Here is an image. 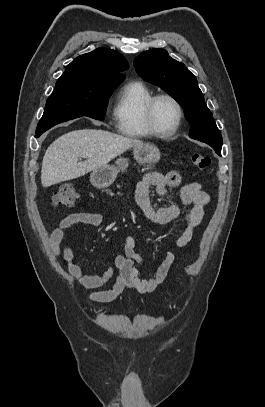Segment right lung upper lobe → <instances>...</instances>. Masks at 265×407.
I'll use <instances>...</instances> for the list:
<instances>
[{"label":"right lung upper lobe","instance_id":"cb5924a9","mask_svg":"<svg viewBox=\"0 0 265 407\" xmlns=\"http://www.w3.org/2000/svg\"><path fill=\"white\" fill-rule=\"evenodd\" d=\"M128 68L127 60L119 52L98 48L74 59L60 78H71L77 82L121 83L125 76L119 72Z\"/></svg>","mask_w":265,"mask_h":407}]
</instances>
